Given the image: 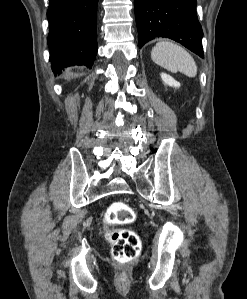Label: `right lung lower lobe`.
Listing matches in <instances>:
<instances>
[{
  "label": "right lung lower lobe",
  "mask_w": 247,
  "mask_h": 299,
  "mask_svg": "<svg viewBox=\"0 0 247 299\" xmlns=\"http://www.w3.org/2000/svg\"><path fill=\"white\" fill-rule=\"evenodd\" d=\"M98 0H50L48 46L52 70L91 67L97 54Z\"/></svg>",
  "instance_id": "obj_1"
}]
</instances>
